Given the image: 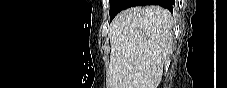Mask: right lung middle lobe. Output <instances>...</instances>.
<instances>
[{"instance_id": "dd1d6c3e", "label": "right lung middle lobe", "mask_w": 227, "mask_h": 88, "mask_svg": "<svg viewBox=\"0 0 227 88\" xmlns=\"http://www.w3.org/2000/svg\"><path fill=\"white\" fill-rule=\"evenodd\" d=\"M129 0H110V20L125 8Z\"/></svg>"}]
</instances>
